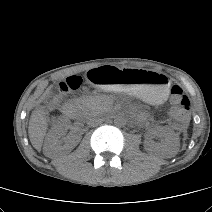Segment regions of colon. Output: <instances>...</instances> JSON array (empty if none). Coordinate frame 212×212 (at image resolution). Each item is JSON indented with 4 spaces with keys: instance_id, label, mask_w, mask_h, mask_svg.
<instances>
[{
    "instance_id": "1",
    "label": "colon",
    "mask_w": 212,
    "mask_h": 212,
    "mask_svg": "<svg viewBox=\"0 0 212 212\" xmlns=\"http://www.w3.org/2000/svg\"><path fill=\"white\" fill-rule=\"evenodd\" d=\"M84 82L80 75H75L67 78L60 83V91L63 93L73 92L78 90ZM94 83V82H92ZM171 115L180 123L187 121L191 110V102L184 90L179 85H174L171 89L170 96Z\"/></svg>"
}]
</instances>
